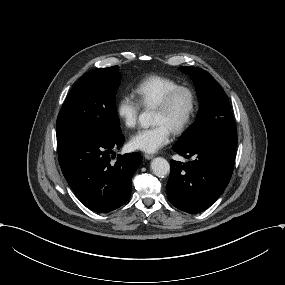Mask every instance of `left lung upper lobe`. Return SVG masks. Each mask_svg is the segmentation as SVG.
<instances>
[{"label":"left lung upper lobe","instance_id":"obj_1","mask_svg":"<svg viewBox=\"0 0 285 285\" xmlns=\"http://www.w3.org/2000/svg\"><path fill=\"white\" fill-rule=\"evenodd\" d=\"M180 70L193 79L200 101V110L197 121L173 147L186 149L217 132L236 130L228 98L215 79L200 68L180 67Z\"/></svg>","mask_w":285,"mask_h":285}]
</instances>
